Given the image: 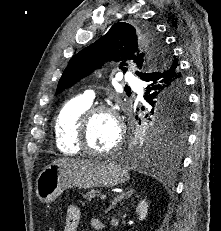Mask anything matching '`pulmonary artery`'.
Wrapping results in <instances>:
<instances>
[{
  "mask_svg": "<svg viewBox=\"0 0 221 231\" xmlns=\"http://www.w3.org/2000/svg\"><path fill=\"white\" fill-rule=\"evenodd\" d=\"M124 83L130 87L136 88L139 85V80L132 75H124ZM81 98L88 103H92L95 98V93L93 91H86Z\"/></svg>",
  "mask_w": 221,
  "mask_h": 231,
  "instance_id": "1",
  "label": "pulmonary artery"
}]
</instances>
